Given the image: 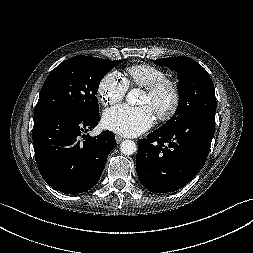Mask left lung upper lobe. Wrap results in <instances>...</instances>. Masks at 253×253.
Masks as SVG:
<instances>
[{
  "mask_svg": "<svg viewBox=\"0 0 253 253\" xmlns=\"http://www.w3.org/2000/svg\"><path fill=\"white\" fill-rule=\"evenodd\" d=\"M168 66L178 75L179 105L173 117L159 129L171 130L199 114L215 115L216 97L213 82L207 71L189 57L177 56L153 61Z\"/></svg>",
  "mask_w": 253,
  "mask_h": 253,
  "instance_id": "1",
  "label": "left lung upper lobe"
}]
</instances>
